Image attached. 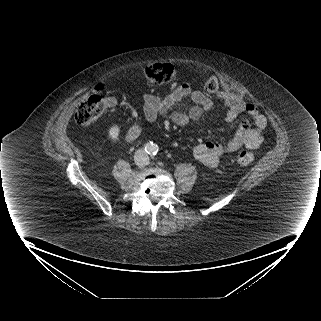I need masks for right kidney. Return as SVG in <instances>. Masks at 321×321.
Here are the masks:
<instances>
[{
  "label": "right kidney",
  "mask_w": 321,
  "mask_h": 321,
  "mask_svg": "<svg viewBox=\"0 0 321 321\" xmlns=\"http://www.w3.org/2000/svg\"><path fill=\"white\" fill-rule=\"evenodd\" d=\"M120 128L117 125H113L110 127L108 131V135L112 140H116L119 136Z\"/></svg>",
  "instance_id": "obj_1"
}]
</instances>
